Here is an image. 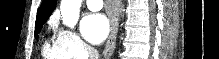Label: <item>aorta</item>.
<instances>
[{"mask_svg":"<svg viewBox=\"0 0 219 59\" xmlns=\"http://www.w3.org/2000/svg\"><path fill=\"white\" fill-rule=\"evenodd\" d=\"M82 0H61L60 11L63 24L73 29L79 19Z\"/></svg>","mask_w":219,"mask_h":59,"instance_id":"obj_1","label":"aorta"}]
</instances>
